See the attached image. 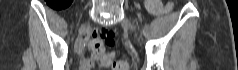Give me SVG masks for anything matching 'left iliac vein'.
<instances>
[{"label":"left iliac vein","mask_w":238,"mask_h":70,"mask_svg":"<svg viewBox=\"0 0 238 70\" xmlns=\"http://www.w3.org/2000/svg\"><path fill=\"white\" fill-rule=\"evenodd\" d=\"M122 25L127 29H133V25L129 22L128 19H124Z\"/></svg>","instance_id":"obj_1"}]
</instances>
